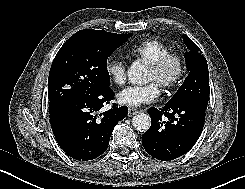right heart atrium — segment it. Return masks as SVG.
<instances>
[{
	"instance_id": "d8ad5b80",
	"label": "right heart atrium",
	"mask_w": 245,
	"mask_h": 189,
	"mask_svg": "<svg viewBox=\"0 0 245 189\" xmlns=\"http://www.w3.org/2000/svg\"><path fill=\"white\" fill-rule=\"evenodd\" d=\"M105 70L111 80L117 85L126 81V63L122 58L110 57L105 62Z\"/></svg>"
}]
</instances>
